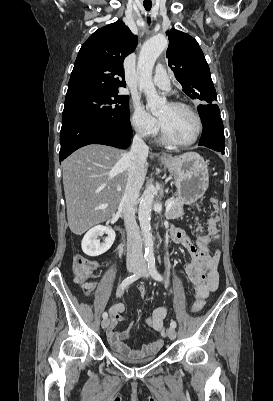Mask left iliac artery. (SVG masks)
I'll use <instances>...</instances> for the list:
<instances>
[{"label":"left iliac artery","instance_id":"44dca946","mask_svg":"<svg viewBox=\"0 0 273 401\" xmlns=\"http://www.w3.org/2000/svg\"><path fill=\"white\" fill-rule=\"evenodd\" d=\"M148 268H149L150 274L152 275V277L155 280H158V281H162L163 280L162 276L159 274V272L157 271V269L155 267V258L154 257H150L148 259ZM170 326L172 328H176V322L175 321H171Z\"/></svg>","mask_w":273,"mask_h":401}]
</instances>
